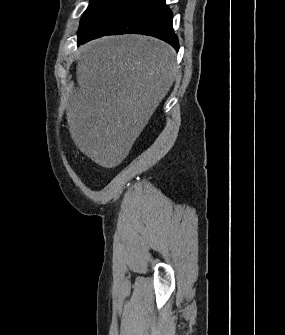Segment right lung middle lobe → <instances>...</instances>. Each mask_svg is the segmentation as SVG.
Listing matches in <instances>:
<instances>
[{"label":"right lung middle lobe","instance_id":"dd1d6c3e","mask_svg":"<svg viewBox=\"0 0 285 335\" xmlns=\"http://www.w3.org/2000/svg\"><path fill=\"white\" fill-rule=\"evenodd\" d=\"M121 0H90L87 10L80 21L78 42L87 32L107 13H109Z\"/></svg>","mask_w":285,"mask_h":335}]
</instances>
